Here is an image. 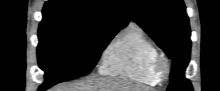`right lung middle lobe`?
<instances>
[{
	"mask_svg": "<svg viewBox=\"0 0 220 91\" xmlns=\"http://www.w3.org/2000/svg\"><path fill=\"white\" fill-rule=\"evenodd\" d=\"M118 31L74 24L40 25L37 54L46 79L42 86L50 88L91 72Z\"/></svg>",
	"mask_w": 220,
	"mask_h": 91,
	"instance_id": "right-lung-middle-lobe-1",
	"label": "right lung middle lobe"
}]
</instances>
